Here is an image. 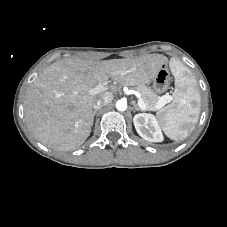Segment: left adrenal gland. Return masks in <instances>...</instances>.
<instances>
[{"mask_svg": "<svg viewBox=\"0 0 227 227\" xmlns=\"http://www.w3.org/2000/svg\"><path fill=\"white\" fill-rule=\"evenodd\" d=\"M133 105H134V110L143 111L141 108L138 107V105L135 102H133Z\"/></svg>", "mask_w": 227, "mask_h": 227, "instance_id": "left-adrenal-gland-1", "label": "left adrenal gland"}]
</instances>
